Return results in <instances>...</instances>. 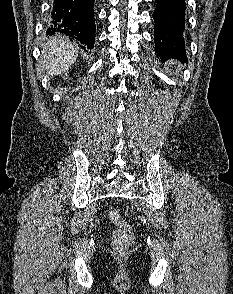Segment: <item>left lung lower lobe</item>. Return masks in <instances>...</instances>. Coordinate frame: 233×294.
<instances>
[{
    "label": "left lung lower lobe",
    "instance_id": "1",
    "mask_svg": "<svg viewBox=\"0 0 233 294\" xmlns=\"http://www.w3.org/2000/svg\"><path fill=\"white\" fill-rule=\"evenodd\" d=\"M153 14L156 52L161 58H180L187 62L183 38L185 0H156Z\"/></svg>",
    "mask_w": 233,
    "mask_h": 294
}]
</instances>
